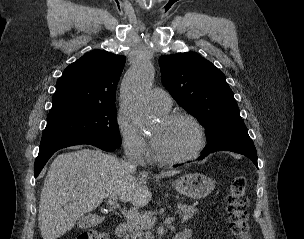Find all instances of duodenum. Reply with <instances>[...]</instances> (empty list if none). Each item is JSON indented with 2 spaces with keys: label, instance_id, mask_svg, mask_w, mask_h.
<instances>
[{
  "label": "duodenum",
  "instance_id": "duodenum-1",
  "mask_svg": "<svg viewBox=\"0 0 304 239\" xmlns=\"http://www.w3.org/2000/svg\"><path fill=\"white\" fill-rule=\"evenodd\" d=\"M115 233H116V237L120 239H125L128 234V225L126 223L118 224ZM173 239H184V237L181 234H177L176 236H174Z\"/></svg>",
  "mask_w": 304,
  "mask_h": 239
}]
</instances>
